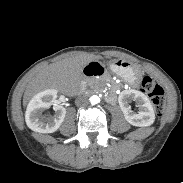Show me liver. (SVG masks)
<instances>
[{
	"mask_svg": "<svg viewBox=\"0 0 183 183\" xmlns=\"http://www.w3.org/2000/svg\"><path fill=\"white\" fill-rule=\"evenodd\" d=\"M92 60H94L93 56L84 54L51 64L30 82L25 92L24 103L26 104L33 95L41 90L64 89L69 85H77L82 78L83 68Z\"/></svg>",
	"mask_w": 183,
	"mask_h": 183,
	"instance_id": "liver-1",
	"label": "liver"
}]
</instances>
